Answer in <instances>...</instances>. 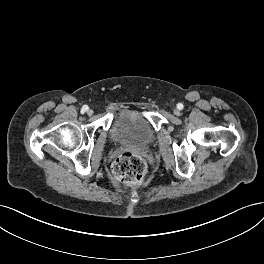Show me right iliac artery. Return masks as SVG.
I'll return each instance as SVG.
<instances>
[{"instance_id": "1", "label": "right iliac artery", "mask_w": 264, "mask_h": 264, "mask_svg": "<svg viewBox=\"0 0 264 264\" xmlns=\"http://www.w3.org/2000/svg\"><path fill=\"white\" fill-rule=\"evenodd\" d=\"M88 109H89V107H88L87 105H84V106L82 107L81 112L84 113V112H86Z\"/></svg>"}]
</instances>
